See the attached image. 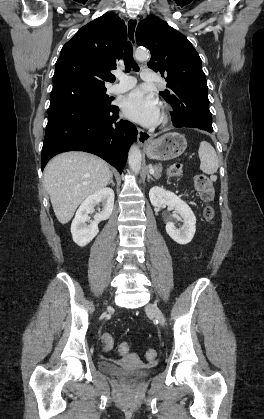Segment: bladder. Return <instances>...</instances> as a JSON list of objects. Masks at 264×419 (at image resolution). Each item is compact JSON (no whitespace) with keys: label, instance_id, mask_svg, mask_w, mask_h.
<instances>
[{"label":"bladder","instance_id":"obj_1","mask_svg":"<svg viewBox=\"0 0 264 419\" xmlns=\"http://www.w3.org/2000/svg\"><path fill=\"white\" fill-rule=\"evenodd\" d=\"M100 368L105 373L118 378L126 384H135L147 378L151 373L148 369H129L108 361L100 362Z\"/></svg>","mask_w":264,"mask_h":419}]
</instances>
